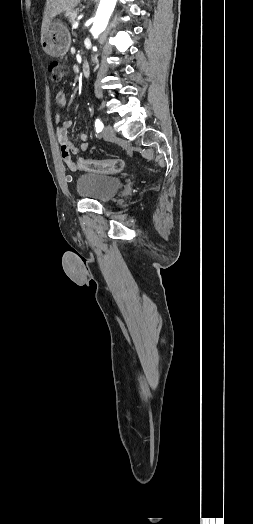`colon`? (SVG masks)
Listing matches in <instances>:
<instances>
[{
  "mask_svg": "<svg viewBox=\"0 0 253 524\" xmlns=\"http://www.w3.org/2000/svg\"><path fill=\"white\" fill-rule=\"evenodd\" d=\"M49 72L53 81H60L67 72L65 65L54 61L49 64ZM125 163L121 158H113L107 161H96L91 159H79L78 167L83 171L96 173H119L124 169Z\"/></svg>",
  "mask_w": 253,
  "mask_h": 524,
  "instance_id": "5ec220e1",
  "label": "colon"
}]
</instances>
